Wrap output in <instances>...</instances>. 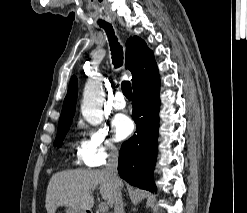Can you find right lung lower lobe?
Returning a JSON list of instances; mask_svg holds the SVG:
<instances>
[{"instance_id": "1", "label": "right lung lower lobe", "mask_w": 247, "mask_h": 213, "mask_svg": "<svg viewBox=\"0 0 247 213\" xmlns=\"http://www.w3.org/2000/svg\"><path fill=\"white\" fill-rule=\"evenodd\" d=\"M159 74L143 80L133 87L132 118L136 133L121 146L118 172L131 185L156 191L153 169L157 155L159 128Z\"/></svg>"}]
</instances>
